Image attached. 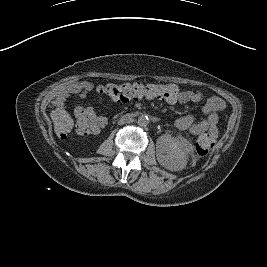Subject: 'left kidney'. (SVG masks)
<instances>
[{
	"instance_id": "1",
	"label": "left kidney",
	"mask_w": 267,
	"mask_h": 267,
	"mask_svg": "<svg viewBox=\"0 0 267 267\" xmlns=\"http://www.w3.org/2000/svg\"><path fill=\"white\" fill-rule=\"evenodd\" d=\"M156 157L161 166L172 172L183 170L188 162L186 151L169 135L157 139Z\"/></svg>"
}]
</instances>
